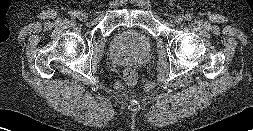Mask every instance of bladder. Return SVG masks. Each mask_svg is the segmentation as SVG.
<instances>
[{"mask_svg":"<svg viewBox=\"0 0 253 131\" xmlns=\"http://www.w3.org/2000/svg\"><path fill=\"white\" fill-rule=\"evenodd\" d=\"M152 42V36L149 33L143 34V45L149 46Z\"/></svg>","mask_w":253,"mask_h":131,"instance_id":"31cf9c89","label":"bladder"}]
</instances>
